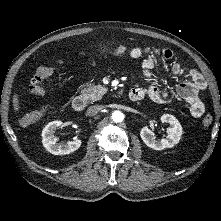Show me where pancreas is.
<instances>
[{
    "label": "pancreas",
    "mask_w": 221,
    "mask_h": 221,
    "mask_svg": "<svg viewBox=\"0 0 221 221\" xmlns=\"http://www.w3.org/2000/svg\"><path fill=\"white\" fill-rule=\"evenodd\" d=\"M107 89L101 85L90 84L81 91V96L88 102L93 103L100 100Z\"/></svg>",
    "instance_id": "pancreas-1"
}]
</instances>
